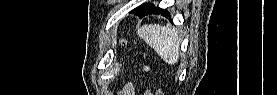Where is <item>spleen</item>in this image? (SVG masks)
<instances>
[{"mask_svg":"<svg viewBox=\"0 0 277 95\" xmlns=\"http://www.w3.org/2000/svg\"><path fill=\"white\" fill-rule=\"evenodd\" d=\"M137 34L169 65L178 62L181 40L177 31L159 24L143 25Z\"/></svg>","mask_w":277,"mask_h":95,"instance_id":"1","label":"spleen"}]
</instances>
